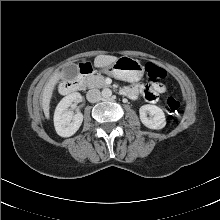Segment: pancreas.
Wrapping results in <instances>:
<instances>
[{
	"label": "pancreas",
	"mask_w": 220,
	"mask_h": 220,
	"mask_svg": "<svg viewBox=\"0 0 220 220\" xmlns=\"http://www.w3.org/2000/svg\"><path fill=\"white\" fill-rule=\"evenodd\" d=\"M103 75H90L83 80V83L88 88H103L107 84Z\"/></svg>",
	"instance_id": "1"
}]
</instances>
